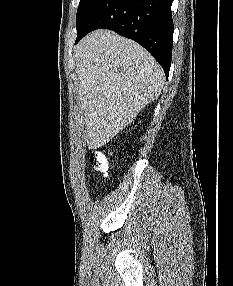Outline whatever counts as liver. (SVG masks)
Masks as SVG:
<instances>
[{"instance_id": "6515ba94", "label": "liver", "mask_w": 233, "mask_h": 286, "mask_svg": "<svg viewBox=\"0 0 233 286\" xmlns=\"http://www.w3.org/2000/svg\"><path fill=\"white\" fill-rule=\"evenodd\" d=\"M75 60L89 149L116 136L160 95L165 83L164 72L150 53L107 30L80 41Z\"/></svg>"}]
</instances>
